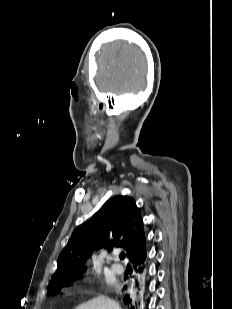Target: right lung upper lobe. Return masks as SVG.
Here are the masks:
<instances>
[{
    "label": "right lung upper lobe",
    "mask_w": 232,
    "mask_h": 309,
    "mask_svg": "<svg viewBox=\"0 0 232 309\" xmlns=\"http://www.w3.org/2000/svg\"><path fill=\"white\" fill-rule=\"evenodd\" d=\"M126 247L128 259L134 263L146 253V238L140 209L127 196H115L86 222L75 229L58 258L52 283L72 281L81 276L83 266L93 250ZM49 294V293H48ZM55 295V294H50Z\"/></svg>",
    "instance_id": "1"
}]
</instances>
